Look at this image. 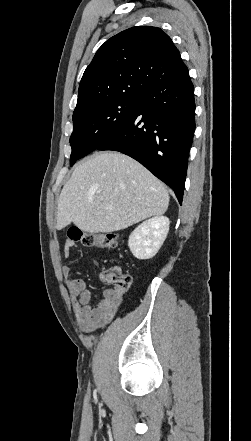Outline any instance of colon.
Listing matches in <instances>:
<instances>
[{"label":"colon","mask_w":251,"mask_h":441,"mask_svg":"<svg viewBox=\"0 0 251 441\" xmlns=\"http://www.w3.org/2000/svg\"><path fill=\"white\" fill-rule=\"evenodd\" d=\"M67 236L70 241L104 249L115 248L120 241L119 236L115 233L85 232L75 226L69 228ZM100 276L107 284L123 291L130 287L132 281L131 275L122 271L118 266L103 269Z\"/></svg>","instance_id":"1"}]
</instances>
